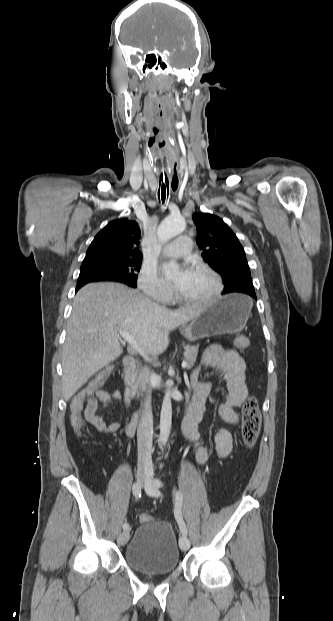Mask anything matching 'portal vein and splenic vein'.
<instances>
[{"label": "portal vein and splenic vein", "instance_id": "obj_1", "mask_svg": "<svg viewBox=\"0 0 333 621\" xmlns=\"http://www.w3.org/2000/svg\"><path fill=\"white\" fill-rule=\"evenodd\" d=\"M119 334L120 336L127 341L129 344H131V346L141 355L143 356L145 359L149 360V357L147 356V354L144 352V350H142L139 346V344L137 343V340L135 339V337L124 330H119ZM187 366V361H183L182 362V368H186Z\"/></svg>", "mask_w": 333, "mask_h": 621}]
</instances>
